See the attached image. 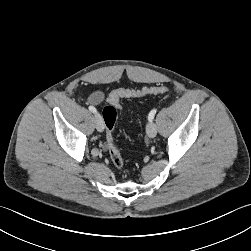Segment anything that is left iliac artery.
Returning <instances> with one entry per match:
<instances>
[{
  "mask_svg": "<svg viewBox=\"0 0 251 251\" xmlns=\"http://www.w3.org/2000/svg\"><path fill=\"white\" fill-rule=\"evenodd\" d=\"M156 112H157V109H153V110L150 111V113L148 115V120L150 122H152V120L154 119V116H155Z\"/></svg>",
  "mask_w": 251,
  "mask_h": 251,
  "instance_id": "obj_1",
  "label": "left iliac artery"
}]
</instances>
